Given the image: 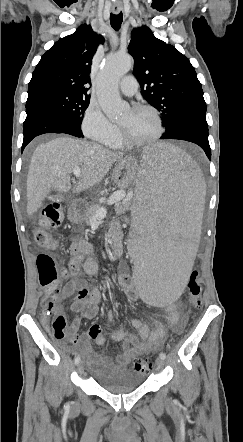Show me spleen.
<instances>
[{"instance_id": "1", "label": "spleen", "mask_w": 243, "mask_h": 442, "mask_svg": "<svg viewBox=\"0 0 243 442\" xmlns=\"http://www.w3.org/2000/svg\"><path fill=\"white\" fill-rule=\"evenodd\" d=\"M134 180L132 285L149 307H170L186 289L196 236L202 226L205 178L193 159L177 147H141ZM156 192V193H142Z\"/></svg>"}]
</instances>
